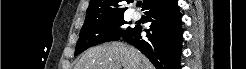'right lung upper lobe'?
Listing matches in <instances>:
<instances>
[{"label": "right lung upper lobe", "mask_w": 246, "mask_h": 69, "mask_svg": "<svg viewBox=\"0 0 246 69\" xmlns=\"http://www.w3.org/2000/svg\"><path fill=\"white\" fill-rule=\"evenodd\" d=\"M127 3L130 0H125ZM160 0H143V10ZM123 0H90L85 21L99 20L113 15H123L127 8H123Z\"/></svg>", "instance_id": "right-lung-upper-lobe-1"}]
</instances>
